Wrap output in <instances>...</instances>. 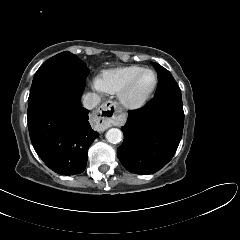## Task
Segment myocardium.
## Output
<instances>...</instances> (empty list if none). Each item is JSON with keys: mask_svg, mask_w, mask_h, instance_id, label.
<instances>
[{"mask_svg": "<svg viewBox=\"0 0 240 240\" xmlns=\"http://www.w3.org/2000/svg\"><path fill=\"white\" fill-rule=\"evenodd\" d=\"M146 72H151L154 75V84L153 87L150 89V91L143 96L140 99L137 100H133L129 97L130 91L132 90L134 84L136 83V81L139 79V77L146 73ZM158 86V75L156 73V71H154L153 69H149V68H145L143 70H141L139 73H137L122 89L121 91L118 93V97L120 102L122 103V105L124 107H126L127 109H131V110H137L140 109L142 107H144L152 98L156 88Z\"/></svg>", "mask_w": 240, "mask_h": 240, "instance_id": "f54148a6", "label": "myocardium"}]
</instances>
